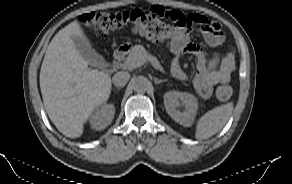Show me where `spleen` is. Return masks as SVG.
I'll return each instance as SVG.
<instances>
[{
  "mask_svg": "<svg viewBox=\"0 0 292 184\" xmlns=\"http://www.w3.org/2000/svg\"><path fill=\"white\" fill-rule=\"evenodd\" d=\"M234 105L232 102L213 108L198 119L195 138L207 139L220 131L229 120Z\"/></svg>",
  "mask_w": 292,
  "mask_h": 184,
  "instance_id": "3e777b00",
  "label": "spleen"
}]
</instances>
